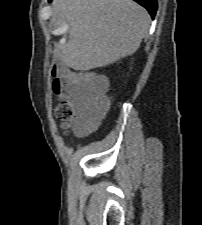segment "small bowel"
I'll list each match as a JSON object with an SVG mask.
<instances>
[{"label":"small bowel","instance_id":"1","mask_svg":"<svg viewBox=\"0 0 202 225\" xmlns=\"http://www.w3.org/2000/svg\"><path fill=\"white\" fill-rule=\"evenodd\" d=\"M105 79L104 76L101 77ZM74 104L76 106V115L74 117V125H78L81 121H87L90 119V114L87 111L84 101L81 98H77L74 100Z\"/></svg>","mask_w":202,"mask_h":225}]
</instances>
